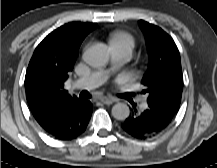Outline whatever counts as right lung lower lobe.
<instances>
[{
  "instance_id": "right-lung-lower-lobe-1",
  "label": "right lung lower lobe",
  "mask_w": 217,
  "mask_h": 168,
  "mask_svg": "<svg viewBox=\"0 0 217 168\" xmlns=\"http://www.w3.org/2000/svg\"><path fill=\"white\" fill-rule=\"evenodd\" d=\"M93 109L87 100L61 108L46 123L40 126L52 137L71 140L82 134L88 125Z\"/></svg>"
}]
</instances>
